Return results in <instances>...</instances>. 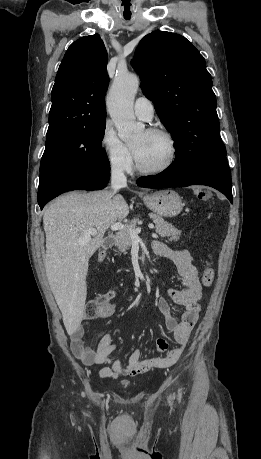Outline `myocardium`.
Here are the masks:
<instances>
[{
  "label": "myocardium",
  "instance_id": "myocardium-1",
  "mask_svg": "<svg viewBox=\"0 0 261 459\" xmlns=\"http://www.w3.org/2000/svg\"><path fill=\"white\" fill-rule=\"evenodd\" d=\"M147 133L149 134H153V135H159V136H162L163 138L166 139L167 143H168V146H169V155H168V158L167 160L157 166V167H153V168H145V167H142L136 157H135V167H136V170L143 174V175H156V174H160V173H163L165 172L166 170H168L172 165L173 163L175 162V159H176V156H177V147H176V141L174 139V137L172 136V134L164 129H160V128H149L146 130Z\"/></svg>",
  "mask_w": 261,
  "mask_h": 459
}]
</instances>
